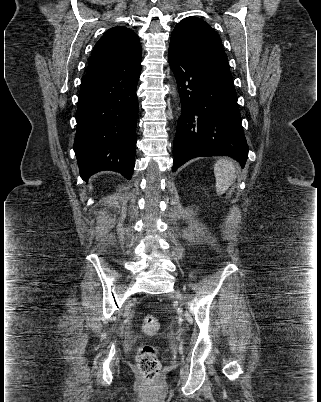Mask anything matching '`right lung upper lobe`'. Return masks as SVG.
Returning <instances> with one entry per match:
<instances>
[{
	"mask_svg": "<svg viewBox=\"0 0 321 402\" xmlns=\"http://www.w3.org/2000/svg\"><path fill=\"white\" fill-rule=\"evenodd\" d=\"M141 53L136 33L125 26L110 28L95 44L86 74L140 68Z\"/></svg>",
	"mask_w": 321,
	"mask_h": 402,
	"instance_id": "right-lung-upper-lobe-1",
	"label": "right lung upper lobe"
}]
</instances>
